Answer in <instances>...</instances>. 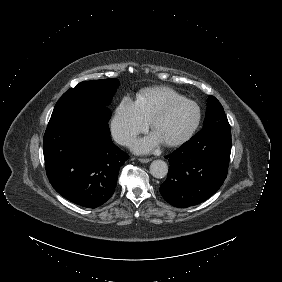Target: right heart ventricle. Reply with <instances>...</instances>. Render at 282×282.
<instances>
[{
	"label": "right heart ventricle",
	"instance_id": "right-heart-ventricle-1",
	"mask_svg": "<svg viewBox=\"0 0 282 282\" xmlns=\"http://www.w3.org/2000/svg\"><path fill=\"white\" fill-rule=\"evenodd\" d=\"M181 98L182 96L169 88L155 87L144 90L138 96L137 102L151 121L164 104Z\"/></svg>",
	"mask_w": 282,
	"mask_h": 282
}]
</instances>
